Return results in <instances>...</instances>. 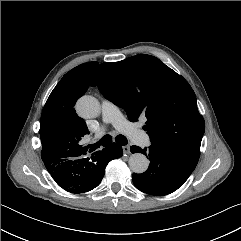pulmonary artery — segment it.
I'll return each instance as SVG.
<instances>
[{"label":"pulmonary artery","mask_w":241,"mask_h":241,"mask_svg":"<svg viewBox=\"0 0 241 241\" xmlns=\"http://www.w3.org/2000/svg\"><path fill=\"white\" fill-rule=\"evenodd\" d=\"M101 111L104 123H111L118 131L126 134L140 146L150 144L149 136L130 123L112 102L102 99ZM103 131L104 128L101 129L100 133H103Z\"/></svg>","instance_id":"pulmonary-artery-1"}]
</instances>
